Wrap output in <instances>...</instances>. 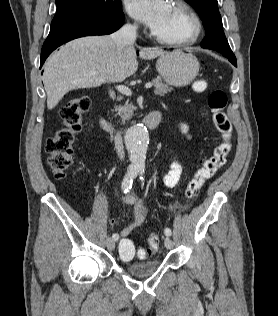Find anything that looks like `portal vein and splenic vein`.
I'll use <instances>...</instances> for the list:
<instances>
[{
	"mask_svg": "<svg viewBox=\"0 0 278 316\" xmlns=\"http://www.w3.org/2000/svg\"><path fill=\"white\" fill-rule=\"evenodd\" d=\"M94 74H95V73H94ZM151 87H152V83L149 82V83H146V84H145V88H146V89H149V88H151ZM117 89H118V91H120L121 93H123V94H125V95H127V96H130V95L132 94L131 89L128 88V87L119 85V86H117Z\"/></svg>",
	"mask_w": 278,
	"mask_h": 316,
	"instance_id": "obj_1",
	"label": "portal vein and splenic vein"
}]
</instances>
